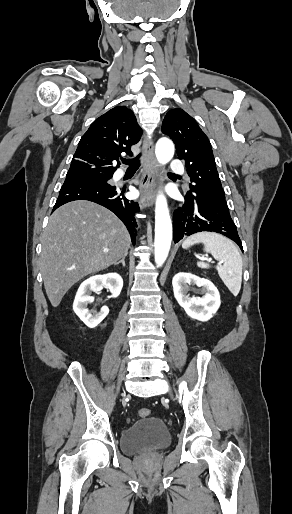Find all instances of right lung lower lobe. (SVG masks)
<instances>
[{"label":"right lung lower lobe","mask_w":292,"mask_h":514,"mask_svg":"<svg viewBox=\"0 0 292 514\" xmlns=\"http://www.w3.org/2000/svg\"><path fill=\"white\" fill-rule=\"evenodd\" d=\"M126 186H112L108 181L91 178H68L60 189L59 197L52 211L61 205L74 200H89L100 204L114 212L126 225L135 244L136 227L135 213L140 211L139 205L128 200L124 193Z\"/></svg>","instance_id":"98d812e1"}]
</instances>
